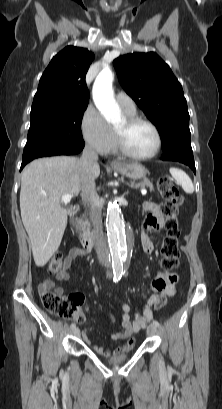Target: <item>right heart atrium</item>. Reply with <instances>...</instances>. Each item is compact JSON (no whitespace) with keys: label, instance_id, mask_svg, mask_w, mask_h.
I'll list each match as a JSON object with an SVG mask.
<instances>
[{"label":"right heart atrium","instance_id":"right-heart-atrium-1","mask_svg":"<svg viewBox=\"0 0 222 409\" xmlns=\"http://www.w3.org/2000/svg\"><path fill=\"white\" fill-rule=\"evenodd\" d=\"M80 129L84 141L99 153H108L115 143L112 129L92 104L82 114Z\"/></svg>","mask_w":222,"mask_h":409}]
</instances>
